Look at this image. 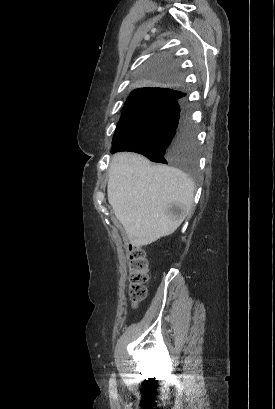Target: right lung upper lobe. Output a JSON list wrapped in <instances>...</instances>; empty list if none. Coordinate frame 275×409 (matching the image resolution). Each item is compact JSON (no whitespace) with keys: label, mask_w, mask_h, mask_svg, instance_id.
Here are the masks:
<instances>
[{"label":"right lung upper lobe","mask_w":275,"mask_h":409,"mask_svg":"<svg viewBox=\"0 0 275 409\" xmlns=\"http://www.w3.org/2000/svg\"><path fill=\"white\" fill-rule=\"evenodd\" d=\"M162 90H166V89H163V88L157 89V90H138V89H136V90H134L131 94H133V93H140V92L162 91Z\"/></svg>","instance_id":"right-lung-upper-lobe-1"}]
</instances>
